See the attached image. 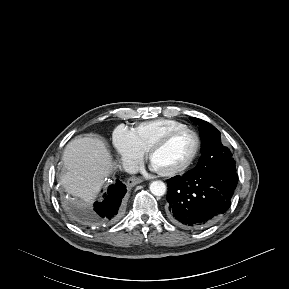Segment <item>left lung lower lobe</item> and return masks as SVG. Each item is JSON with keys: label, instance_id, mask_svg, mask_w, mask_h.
Instances as JSON below:
<instances>
[{"label": "left lung lower lobe", "instance_id": "0a47b994", "mask_svg": "<svg viewBox=\"0 0 289 289\" xmlns=\"http://www.w3.org/2000/svg\"><path fill=\"white\" fill-rule=\"evenodd\" d=\"M238 182L235 167L227 164L192 169L167 180V216L185 228L212 224L230 207Z\"/></svg>", "mask_w": 289, "mask_h": 289}]
</instances>
